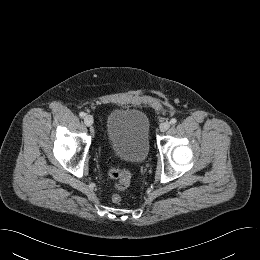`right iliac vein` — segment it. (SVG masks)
<instances>
[{"instance_id":"obj_1","label":"right iliac vein","mask_w":260,"mask_h":260,"mask_svg":"<svg viewBox=\"0 0 260 260\" xmlns=\"http://www.w3.org/2000/svg\"><path fill=\"white\" fill-rule=\"evenodd\" d=\"M84 123H85V125L88 126V127L92 126L93 123H94L93 117H92L91 115H86V116L84 117Z\"/></svg>"}]
</instances>
